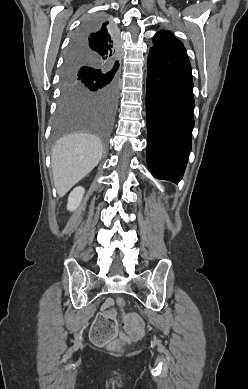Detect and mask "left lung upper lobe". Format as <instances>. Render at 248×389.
<instances>
[{"label": "left lung upper lobe", "instance_id": "obj_1", "mask_svg": "<svg viewBox=\"0 0 248 389\" xmlns=\"http://www.w3.org/2000/svg\"><path fill=\"white\" fill-rule=\"evenodd\" d=\"M153 47L172 48L183 47L181 41L175 38L174 34L169 31H159L153 37Z\"/></svg>", "mask_w": 248, "mask_h": 389}]
</instances>
